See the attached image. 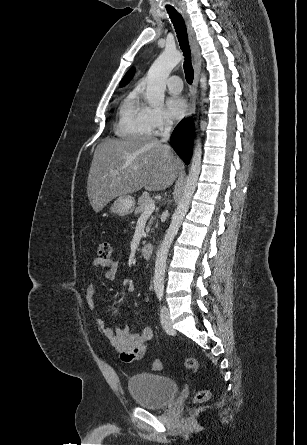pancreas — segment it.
<instances>
[{
	"instance_id": "obj_1",
	"label": "pancreas",
	"mask_w": 307,
	"mask_h": 445,
	"mask_svg": "<svg viewBox=\"0 0 307 445\" xmlns=\"http://www.w3.org/2000/svg\"><path fill=\"white\" fill-rule=\"evenodd\" d=\"M153 198H150V196H139L138 198V206L135 208V214H141V212H144V208L146 204H149V202H152ZM154 216H151L149 223L146 227V231H150V225L153 223Z\"/></svg>"
}]
</instances>
